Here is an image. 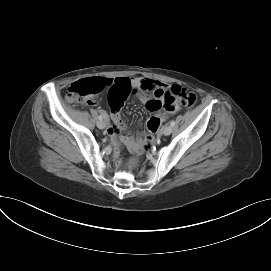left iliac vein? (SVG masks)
I'll use <instances>...</instances> for the list:
<instances>
[{
    "instance_id": "4c4485c4",
    "label": "left iliac vein",
    "mask_w": 271,
    "mask_h": 271,
    "mask_svg": "<svg viewBox=\"0 0 271 271\" xmlns=\"http://www.w3.org/2000/svg\"><path fill=\"white\" fill-rule=\"evenodd\" d=\"M171 132H172V127L171 126H165L163 129H162V133L164 134V135H170L171 134Z\"/></svg>"
}]
</instances>
